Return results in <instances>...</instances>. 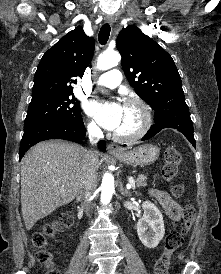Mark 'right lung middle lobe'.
Wrapping results in <instances>:
<instances>
[{"instance_id": "obj_1", "label": "right lung middle lobe", "mask_w": 221, "mask_h": 274, "mask_svg": "<svg viewBox=\"0 0 221 274\" xmlns=\"http://www.w3.org/2000/svg\"><path fill=\"white\" fill-rule=\"evenodd\" d=\"M46 121H64L72 124H82L80 102L75 98L73 93L32 99L29 104L24 127Z\"/></svg>"}]
</instances>
